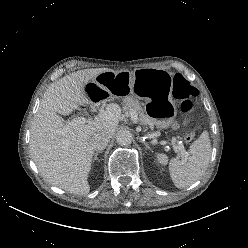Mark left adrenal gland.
I'll return each instance as SVG.
<instances>
[{
    "label": "left adrenal gland",
    "instance_id": "obj_1",
    "mask_svg": "<svg viewBox=\"0 0 248 248\" xmlns=\"http://www.w3.org/2000/svg\"><path fill=\"white\" fill-rule=\"evenodd\" d=\"M144 145H145V147H146L147 150H151L152 151L151 147L147 143H144Z\"/></svg>",
    "mask_w": 248,
    "mask_h": 248
}]
</instances>
